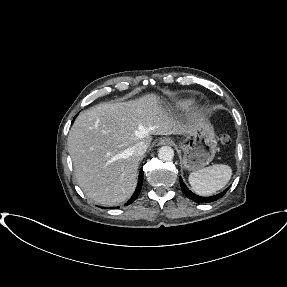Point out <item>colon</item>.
I'll list each match as a JSON object with an SVG mask.
<instances>
[{"label": "colon", "instance_id": "colon-1", "mask_svg": "<svg viewBox=\"0 0 287 287\" xmlns=\"http://www.w3.org/2000/svg\"><path fill=\"white\" fill-rule=\"evenodd\" d=\"M221 142H222L223 144H225V145L230 144V142H231V137H230V135H228V134H223V135L221 136Z\"/></svg>", "mask_w": 287, "mask_h": 287}]
</instances>
